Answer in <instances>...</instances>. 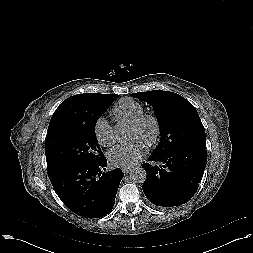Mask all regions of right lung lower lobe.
I'll use <instances>...</instances> for the list:
<instances>
[{
    "label": "right lung lower lobe",
    "instance_id": "right-lung-lower-lobe-1",
    "mask_svg": "<svg viewBox=\"0 0 253 253\" xmlns=\"http://www.w3.org/2000/svg\"><path fill=\"white\" fill-rule=\"evenodd\" d=\"M105 156L94 163H84L49 173V179L61 201L85 218H100L111 212L124 174L120 168L106 171Z\"/></svg>",
    "mask_w": 253,
    "mask_h": 253
}]
</instances>
